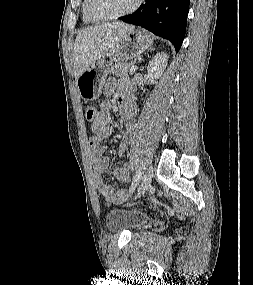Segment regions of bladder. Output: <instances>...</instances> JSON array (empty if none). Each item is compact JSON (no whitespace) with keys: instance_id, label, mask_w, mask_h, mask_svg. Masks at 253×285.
<instances>
[{"instance_id":"1","label":"bladder","mask_w":253,"mask_h":285,"mask_svg":"<svg viewBox=\"0 0 253 285\" xmlns=\"http://www.w3.org/2000/svg\"><path fill=\"white\" fill-rule=\"evenodd\" d=\"M146 221V216L139 211L125 208H115L109 211L105 217V223L110 231H135Z\"/></svg>"}]
</instances>
